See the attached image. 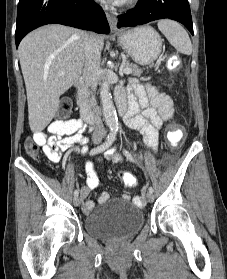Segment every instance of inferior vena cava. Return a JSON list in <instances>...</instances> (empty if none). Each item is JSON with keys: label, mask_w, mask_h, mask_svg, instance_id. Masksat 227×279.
Returning a JSON list of instances; mask_svg holds the SVG:
<instances>
[{"label": "inferior vena cava", "mask_w": 227, "mask_h": 279, "mask_svg": "<svg viewBox=\"0 0 227 279\" xmlns=\"http://www.w3.org/2000/svg\"><path fill=\"white\" fill-rule=\"evenodd\" d=\"M100 47L93 35L87 34L85 45V61L83 67V79L87 86L95 90L98 84V74L100 67ZM106 131L99 114L95 113V137H103Z\"/></svg>", "instance_id": "602c4592"}]
</instances>
